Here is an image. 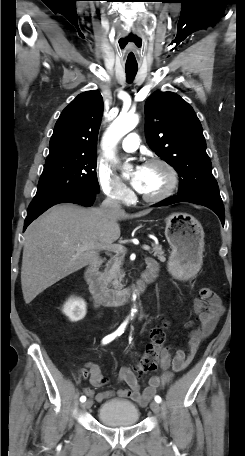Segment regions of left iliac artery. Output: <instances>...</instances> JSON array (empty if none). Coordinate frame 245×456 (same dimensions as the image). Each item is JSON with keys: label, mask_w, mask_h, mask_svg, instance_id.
I'll return each instance as SVG.
<instances>
[{"label": "left iliac artery", "mask_w": 245, "mask_h": 456, "mask_svg": "<svg viewBox=\"0 0 245 456\" xmlns=\"http://www.w3.org/2000/svg\"><path fill=\"white\" fill-rule=\"evenodd\" d=\"M154 399H155V401H156L157 403H160V402L162 401L161 397H160V396H158V395H157V396H155V398H154Z\"/></svg>", "instance_id": "1"}]
</instances>
